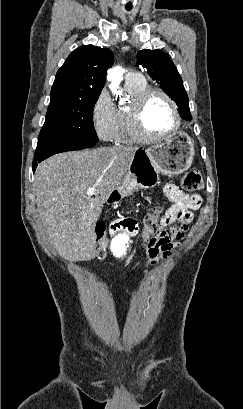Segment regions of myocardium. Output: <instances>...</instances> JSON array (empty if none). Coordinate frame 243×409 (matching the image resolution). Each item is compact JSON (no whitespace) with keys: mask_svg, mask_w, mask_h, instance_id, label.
Segmentation results:
<instances>
[{"mask_svg":"<svg viewBox=\"0 0 243 409\" xmlns=\"http://www.w3.org/2000/svg\"><path fill=\"white\" fill-rule=\"evenodd\" d=\"M153 95H160L168 102L174 118L173 127L168 132L160 135L150 134L146 130L143 121L145 106ZM127 115L134 136L137 138V140L142 142H156L165 139L176 133L181 125V117L176 102L169 94L159 88H147L145 91L140 93L129 105Z\"/></svg>","mask_w":243,"mask_h":409,"instance_id":"f54148a6","label":"myocardium"}]
</instances>
